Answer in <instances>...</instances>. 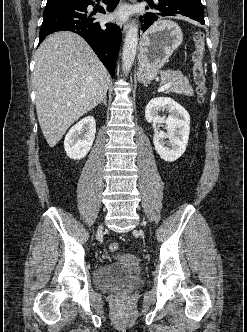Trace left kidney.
<instances>
[{
    "instance_id": "left-kidney-1",
    "label": "left kidney",
    "mask_w": 247,
    "mask_h": 332,
    "mask_svg": "<svg viewBox=\"0 0 247 332\" xmlns=\"http://www.w3.org/2000/svg\"><path fill=\"white\" fill-rule=\"evenodd\" d=\"M168 111L167 118L160 117ZM145 117L154 127L165 122L168 132L154 131L153 143L157 153L167 162H174L185 152L190 132V115L179 103L169 97L151 99L145 109ZM169 141L166 142L165 139Z\"/></svg>"
}]
</instances>
